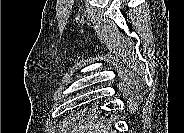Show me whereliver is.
<instances>
[{"label":"liver","mask_w":184,"mask_h":133,"mask_svg":"<svg viewBox=\"0 0 184 133\" xmlns=\"http://www.w3.org/2000/svg\"><path fill=\"white\" fill-rule=\"evenodd\" d=\"M62 131L64 133H108L109 129L104 127L96 114H82L64 121Z\"/></svg>","instance_id":"6515ba94"}]
</instances>
